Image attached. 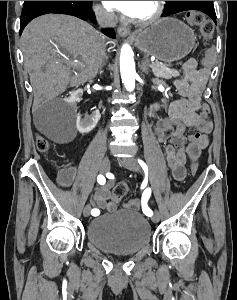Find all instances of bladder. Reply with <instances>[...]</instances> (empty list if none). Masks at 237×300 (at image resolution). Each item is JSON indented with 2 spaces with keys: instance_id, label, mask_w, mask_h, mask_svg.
I'll return each instance as SVG.
<instances>
[{
  "instance_id": "1",
  "label": "bladder",
  "mask_w": 237,
  "mask_h": 300,
  "mask_svg": "<svg viewBox=\"0 0 237 300\" xmlns=\"http://www.w3.org/2000/svg\"><path fill=\"white\" fill-rule=\"evenodd\" d=\"M86 238L103 252L132 255L149 244L151 226L141 213L123 209L115 215L92 219L86 229Z\"/></svg>"
}]
</instances>
